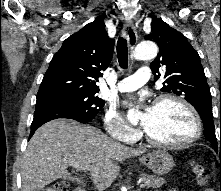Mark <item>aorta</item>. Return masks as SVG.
<instances>
[{"label": "aorta", "mask_w": 221, "mask_h": 191, "mask_svg": "<svg viewBox=\"0 0 221 191\" xmlns=\"http://www.w3.org/2000/svg\"><path fill=\"white\" fill-rule=\"evenodd\" d=\"M156 55H157V46L154 42L151 41H145L139 43L134 52V58L137 60L153 59L156 57ZM137 114H138L137 111L129 110L127 117L130 121H132L137 117Z\"/></svg>", "instance_id": "aorta-1"}]
</instances>
